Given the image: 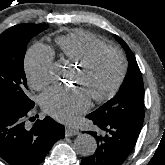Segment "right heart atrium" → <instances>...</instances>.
Segmentation results:
<instances>
[{
  "mask_svg": "<svg viewBox=\"0 0 165 165\" xmlns=\"http://www.w3.org/2000/svg\"><path fill=\"white\" fill-rule=\"evenodd\" d=\"M53 60V51L43 44H35L28 50L25 70L31 87L40 90L51 82Z\"/></svg>",
  "mask_w": 165,
  "mask_h": 165,
  "instance_id": "obj_1",
  "label": "right heart atrium"
}]
</instances>
